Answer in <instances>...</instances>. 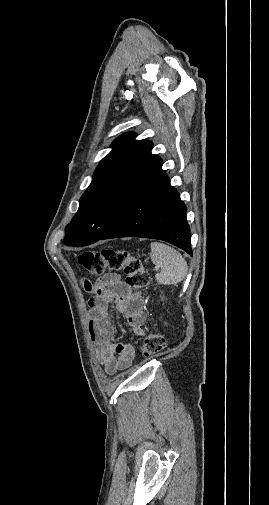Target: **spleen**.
I'll return each mask as SVG.
<instances>
[{
    "label": "spleen",
    "mask_w": 269,
    "mask_h": 505,
    "mask_svg": "<svg viewBox=\"0 0 269 505\" xmlns=\"http://www.w3.org/2000/svg\"><path fill=\"white\" fill-rule=\"evenodd\" d=\"M150 257L153 264L161 268L155 275L158 283L163 285H176L181 282L188 271L187 262L174 248L161 243H151Z\"/></svg>",
    "instance_id": "1"
}]
</instances>
